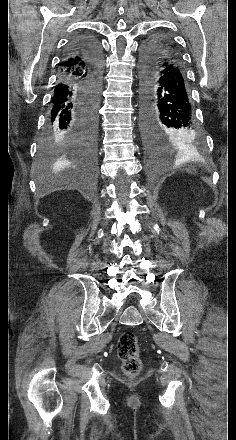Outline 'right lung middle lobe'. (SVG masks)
<instances>
[{
  "label": "right lung middle lobe",
  "instance_id": "1",
  "mask_svg": "<svg viewBox=\"0 0 236 440\" xmlns=\"http://www.w3.org/2000/svg\"><path fill=\"white\" fill-rule=\"evenodd\" d=\"M85 92L87 98L90 100V102H92L94 109L91 112V129L83 135V142L84 144H91L94 140V133L97 126V108L100 100L101 89L95 85H87ZM73 145L72 140L63 139L61 136H47L42 143L39 158L43 163H49L57 156V149H60L63 146L72 147ZM94 157L95 155L87 159V162L93 164Z\"/></svg>",
  "mask_w": 236,
  "mask_h": 440
}]
</instances>
